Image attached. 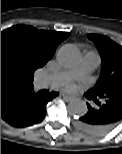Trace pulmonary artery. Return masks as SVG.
Here are the masks:
<instances>
[{"mask_svg": "<svg viewBox=\"0 0 122 154\" xmlns=\"http://www.w3.org/2000/svg\"><path fill=\"white\" fill-rule=\"evenodd\" d=\"M101 62L100 56L95 51L84 53L82 60L73 69L40 77L37 80L38 88H56L73 78L83 77L95 70Z\"/></svg>", "mask_w": 122, "mask_h": 154, "instance_id": "1", "label": "pulmonary artery"}]
</instances>
